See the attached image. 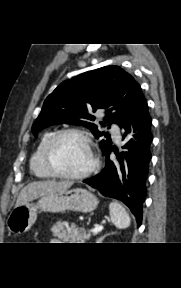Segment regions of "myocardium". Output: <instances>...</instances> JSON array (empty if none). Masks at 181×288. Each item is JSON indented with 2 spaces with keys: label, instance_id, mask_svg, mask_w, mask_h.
<instances>
[{
  "label": "myocardium",
  "instance_id": "myocardium-1",
  "mask_svg": "<svg viewBox=\"0 0 181 288\" xmlns=\"http://www.w3.org/2000/svg\"><path fill=\"white\" fill-rule=\"evenodd\" d=\"M67 135L79 136L80 138L83 139V141L86 143L89 149L91 162H90V165L82 172L73 173V174L66 173L62 171L54 162L55 147L57 143L60 141V139H62L63 137ZM44 161H45L46 167L56 177H60L63 179H70V180H79V179H83L89 176L95 171V169L98 167V164H99V159L94 150V143L90 134L79 128H66V129H62L56 132L47 144V147L44 152Z\"/></svg>",
  "mask_w": 181,
  "mask_h": 288
}]
</instances>
